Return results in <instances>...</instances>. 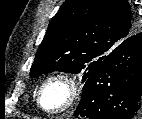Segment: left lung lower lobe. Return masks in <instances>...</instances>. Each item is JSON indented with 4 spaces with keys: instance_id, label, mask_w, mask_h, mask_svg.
Listing matches in <instances>:
<instances>
[{
    "instance_id": "1",
    "label": "left lung lower lobe",
    "mask_w": 142,
    "mask_h": 119,
    "mask_svg": "<svg viewBox=\"0 0 142 119\" xmlns=\"http://www.w3.org/2000/svg\"><path fill=\"white\" fill-rule=\"evenodd\" d=\"M142 32L116 46L85 81L74 112L84 119H141Z\"/></svg>"
}]
</instances>
